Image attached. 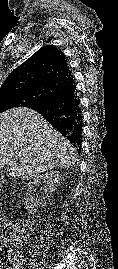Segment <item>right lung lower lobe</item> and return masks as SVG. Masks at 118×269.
I'll return each instance as SVG.
<instances>
[{
  "instance_id": "obj_1",
  "label": "right lung lower lobe",
  "mask_w": 118,
  "mask_h": 269,
  "mask_svg": "<svg viewBox=\"0 0 118 269\" xmlns=\"http://www.w3.org/2000/svg\"><path fill=\"white\" fill-rule=\"evenodd\" d=\"M29 108L41 113L80 152L82 138V115L75 84L61 90L43 102Z\"/></svg>"
}]
</instances>
